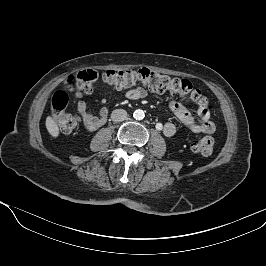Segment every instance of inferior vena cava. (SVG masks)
Masks as SVG:
<instances>
[{
  "label": "inferior vena cava",
  "instance_id": "obj_1",
  "mask_svg": "<svg viewBox=\"0 0 266 266\" xmlns=\"http://www.w3.org/2000/svg\"><path fill=\"white\" fill-rule=\"evenodd\" d=\"M113 122H122L127 119V112L124 109H116L111 113Z\"/></svg>",
  "mask_w": 266,
  "mask_h": 266
}]
</instances>
